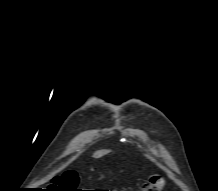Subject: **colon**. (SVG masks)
Here are the masks:
<instances>
[{"instance_id": "obj_1", "label": "colon", "mask_w": 218, "mask_h": 191, "mask_svg": "<svg viewBox=\"0 0 218 191\" xmlns=\"http://www.w3.org/2000/svg\"><path fill=\"white\" fill-rule=\"evenodd\" d=\"M62 191H80L78 188L79 180L75 173H64L55 178ZM165 180L158 174L151 175L141 188V191H163Z\"/></svg>"}]
</instances>
